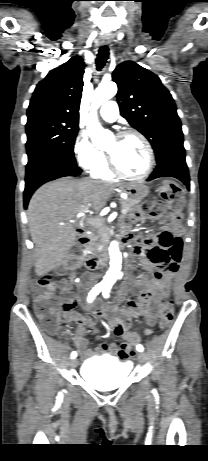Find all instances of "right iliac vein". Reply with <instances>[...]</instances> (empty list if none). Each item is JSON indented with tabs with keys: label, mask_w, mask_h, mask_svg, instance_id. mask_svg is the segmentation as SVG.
<instances>
[{
	"label": "right iliac vein",
	"mask_w": 208,
	"mask_h": 461,
	"mask_svg": "<svg viewBox=\"0 0 208 461\" xmlns=\"http://www.w3.org/2000/svg\"><path fill=\"white\" fill-rule=\"evenodd\" d=\"M70 366H71L72 368H76V367L78 366V360H77V359L71 360Z\"/></svg>",
	"instance_id": "obj_1"
}]
</instances>
